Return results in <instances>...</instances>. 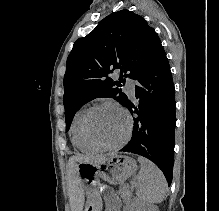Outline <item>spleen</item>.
I'll use <instances>...</instances> for the list:
<instances>
[{"mask_svg": "<svg viewBox=\"0 0 219 211\" xmlns=\"http://www.w3.org/2000/svg\"><path fill=\"white\" fill-rule=\"evenodd\" d=\"M141 169L137 175V195L142 203H161L165 199L168 183L166 177L153 163L146 157H138Z\"/></svg>", "mask_w": 219, "mask_h": 211, "instance_id": "3e777b00", "label": "spleen"}]
</instances>
